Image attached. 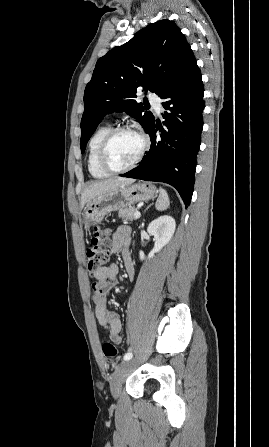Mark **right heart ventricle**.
Segmentation results:
<instances>
[{
	"mask_svg": "<svg viewBox=\"0 0 269 447\" xmlns=\"http://www.w3.org/2000/svg\"><path fill=\"white\" fill-rule=\"evenodd\" d=\"M111 129L112 127L108 124L98 127L89 141L88 169L91 175L96 178H104L109 175V172L100 165L99 155L101 144Z\"/></svg>",
	"mask_w": 269,
	"mask_h": 447,
	"instance_id": "right-heart-ventricle-1",
	"label": "right heart ventricle"
}]
</instances>
